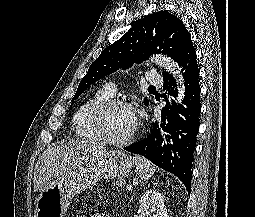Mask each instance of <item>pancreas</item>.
<instances>
[{
    "label": "pancreas",
    "instance_id": "obj_1",
    "mask_svg": "<svg viewBox=\"0 0 255 217\" xmlns=\"http://www.w3.org/2000/svg\"><path fill=\"white\" fill-rule=\"evenodd\" d=\"M126 184L125 180H118L116 182L113 183L114 186H117V188H123L124 185Z\"/></svg>",
    "mask_w": 255,
    "mask_h": 217
}]
</instances>
